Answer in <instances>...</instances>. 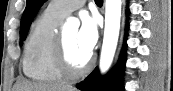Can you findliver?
Returning <instances> with one entry per match:
<instances>
[{"label": "liver", "mask_w": 173, "mask_h": 91, "mask_svg": "<svg viewBox=\"0 0 173 91\" xmlns=\"http://www.w3.org/2000/svg\"><path fill=\"white\" fill-rule=\"evenodd\" d=\"M13 91H76L72 86L62 84L32 83L27 80L17 81Z\"/></svg>", "instance_id": "6515ba94"}]
</instances>
